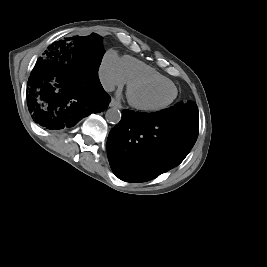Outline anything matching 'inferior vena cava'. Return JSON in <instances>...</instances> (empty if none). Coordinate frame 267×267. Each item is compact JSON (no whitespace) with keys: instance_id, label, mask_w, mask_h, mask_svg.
<instances>
[{"instance_id":"1","label":"inferior vena cava","mask_w":267,"mask_h":267,"mask_svg":"<svg viewBox=\"0 0 267 267\" xmlns=\"http://www.w3.org/2000/svg\"><path fill=\"white\" fill-rule=\"evenodd\" d=\"M100 80H101V84H102L103 88L106 91H108V92L114 91L115 85L113 82H111L110 80H108L104 77H101Z\"/></svg>"}]
</instances>
